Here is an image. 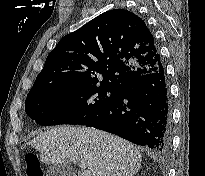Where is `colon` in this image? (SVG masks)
<instances>
[{"instance_id":"obj_1","label":"colon","mask_w":205,"mask_h":176,"mask_svg":"<svg viewBox=\"0 0 205 176\" xmlns=\"http://www.w3.org/2000/svg\"><path fill=\"white\" fill-rule=\"evenodd\" d=\"M27 176H43L41 163L35 153L28 152L24 155Z\"/></svg>"}]
</instances>
